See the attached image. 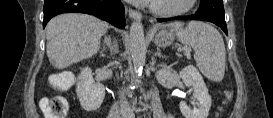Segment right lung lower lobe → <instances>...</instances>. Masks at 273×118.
Wrapping results in <instances>:
<instances>
[{"instance_id": "right-lung-lower-lobe-1", "label": "right lung lower lobe", "mask_w": 273, "mask_h": 118, "mask_svg": "<svg viewBox=\"0 0 273 118\" xmlns=\"http://www.w3.org/2000/svg\"><path fill=\"white\" fill-rule=\"evenodd\" d=\"M68 12L94 15L119 28L125 27L124 6L120 0H45L43 27L55 15Z\"/></svg>"}]
</instances>
